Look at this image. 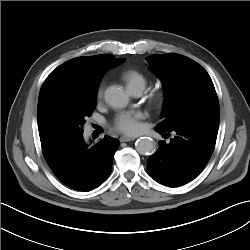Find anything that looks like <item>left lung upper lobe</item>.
Wrapping results in <instances>:
<instances>
[{
	"label": "left lung upper lobe",
	"mask_w": 250,
	"mask_h": 250,
	"mask_svg": "<svg viewBox=\"0 0 250 250\" xmlns=\"http://www.w3.org/2000/svg\"><path fill=\"white\" fill-rule=\"evenodd\" d=\"M163 82L165 99L156 126L165 132L219 122L217 94L207 71L192 59L179 54H154L146 58Z\"/></svg>",
	"instance_id": "1"
}]
</instances>
